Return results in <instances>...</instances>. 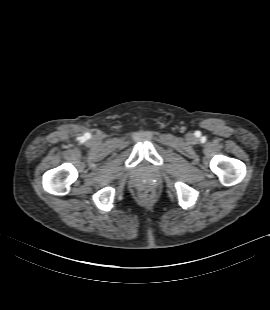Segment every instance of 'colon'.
<instances>
[{"instance_id":"1","label":"colon","mask_w":270,"mask_h":310,"mask_svg":"<svg viewBox=\"0 0 270 310\" xmlns=\"http://www.w3.org/2000/svg\"><path fill=\"white\" fill-rule=\"evenodd\" d=\"M141 195H142V197H143L144 199L150 200V199L153 198L154 193H153V191L150 190V189H144V190H142Z\"/></svg>"}]
</instances>
